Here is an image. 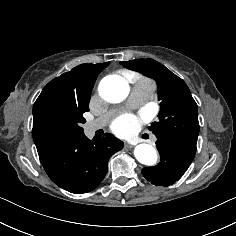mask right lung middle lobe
Returning <instances> with one entry per match:
<instances>
[{"label": "right lung middle lobe", "mask_w": 236, "mask_h": 236, "mask_svg": "<svg viewBox=\"0 0 236 236\" xmlns=\"http://www.w3.org/2000/svg\"><path fill=\"white\" fill-rule=\"evenodd\" d=\"M89 103L61 106L43 104L33 113L32 135L36 145L54 138H65L84 133L81 124L83 113L89 111Z\"/></svg>", "instance_id": "dd1d6c3e"}]
</instances>
